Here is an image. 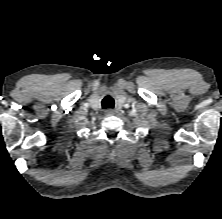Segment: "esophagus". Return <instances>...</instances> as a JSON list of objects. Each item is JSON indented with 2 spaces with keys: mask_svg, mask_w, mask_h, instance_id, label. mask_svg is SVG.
Listing matches in <instances>:
<instances>
[{
  "mask_svg": "<svg viewBox=\"0 0 222 219\" xmlns=\"http://www.w3.org/2000/svg\"><path fill=\"white\" fill-rule=\"evenodd\" d=\"M114 113V110L113 109H107L105 110V114L106 115H112Z\"/></svg>",
  "mask_w": 222,
  "mask_h": 219,
  "instance_id": "obj_1",
  "label": "esophagus"
}]
</instances>
